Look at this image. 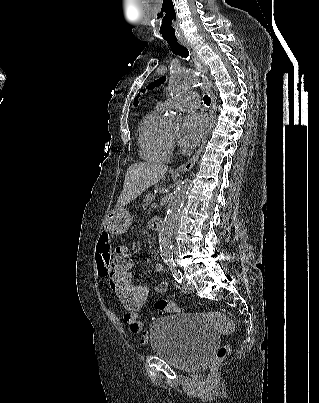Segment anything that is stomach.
Instances as JSON below:
<instances>
[{
    "instance_id": "obj_1",
    "label": "stomach",
    "mask_w": 319,
    "mask_h": 403,
    "mask_svg": "<svg viewBox=\"0 0 319 403\" xmlns=\"http://www.w3.org/2000/svg\"><path fill=\"white\" fill-rule=\"evenodd\" d=\"M131 222L130 213L124 208H117L107 214L104 227L110 234L121 235L128 230Z\"/></svg>"
}]
</instances>
